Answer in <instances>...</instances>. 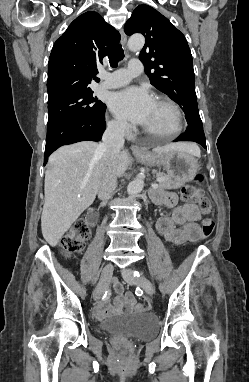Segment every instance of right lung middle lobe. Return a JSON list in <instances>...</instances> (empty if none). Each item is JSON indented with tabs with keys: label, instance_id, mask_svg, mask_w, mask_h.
Wrapping results in <instances>:
<instances>
[{
	"label": "right lung middle lobe",
	"instance_id": "obj_1",
	"mask_svg": "<svg viewBox=\"0 0 249 382\" xmlns=\"http://www.w3.org/2000/svg\"><path fill=\"white\" fill-rule=\"evenodd\" d=\"M105 108L104 103L93 97L92 90L65 96L48 103V127L72 119H95Z\"/></svg>",
	"mask_w": 249,
	"mask_h": 382
}]
</instances>
